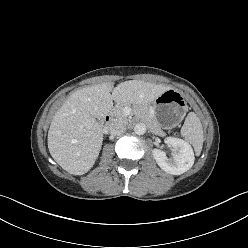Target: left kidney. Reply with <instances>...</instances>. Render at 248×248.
Here are the masks:
<instances>
[{"label": "left kidney", "instance_id": "left-kidney-1", "mask_svg": "<svg viewBox=\"0 0 248 248\" xmlns=\"http://www.w3.org/2000/svg\"><path fill=\"white\" fill-rule=\"evenodd\" d=\"M165 142L173 147L175 152L171 158H168L164 151L154 149L153 156L159 167L173 175H180L188 171L193 166L195 160L190 144L175 137H168Z\"/></svg>", "mask_w": 248, "mask_h": 248}]
</instances>
